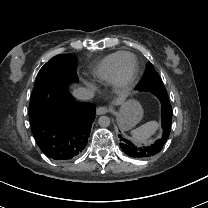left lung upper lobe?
I'll return each instance as SVG.
<instances>
[{
    "label": "left lung upper lobe",
    "mask_w": 208,
    "mask_h": 208,
    "mask_svg": "<svg viewBox=\"0 0 208 208\" xmlns=\"http://www.w3.org/2000/svg\"><path fill=\"white\" fill-rule=\"evenodd\" d=\"M136 89L139 91H149L159 98L168 99L162 79L151 63L147 66L146 74Z\"/></svg>",
    "instance_id": "1"
}]
</instances>
